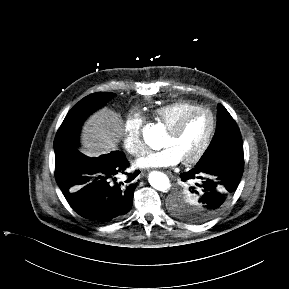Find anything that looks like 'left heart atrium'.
<instances>
[{"mask_svg": "<svg viewBox=\"0 0 289 289\" xmlns=\"http://www.w3.org/2000/svg\"><path fill=\"white\" fill-rule=\"evenodd\" d=\"M181 161L178 154L170 147H164L158 151L149 152L137 160L140 168H166L177 165Z\"/></svg>", "mask_w": 289, "mask_h": 289, "instance_id": "obj_1", "label": "left heart atrium"}]
</instances>
